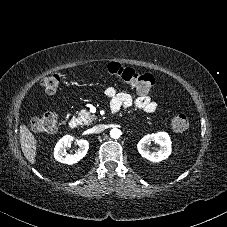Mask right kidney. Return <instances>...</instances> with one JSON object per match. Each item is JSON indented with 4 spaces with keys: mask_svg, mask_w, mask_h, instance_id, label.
Listing matches in <instances>:
<instances>
[{
    "mask_svg": "<svg viewBox=\"0 0 227 227\" xmlns=\"http://www.w3.org/2000/svg\"><path fill=\"white\" fill-rule=\"evenodd\" d=\"M73 140L78 145V150L74 154H68L67 148ZM88 149L89 143L87 140L75 139L70 135H66L57 142L54 149V157L61 163L71 165L80 161L86 155Z\"/></svg>",
    "mask_w": 227,
    "mask_h": 227,
    "instance_id": "right-kidney-1",
    "label": "right kidney"
}]
</instances>
